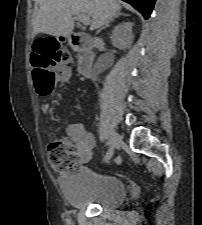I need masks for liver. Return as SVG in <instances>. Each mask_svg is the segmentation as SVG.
Segmentation results:
<instances>
[{
	"mask_svg": "<svg viewBox=\"0 0 202 225\" xmlns=\"http://www.w3.org/2000/svg\"><path fill=\"white\" fill-rule=\"evenodd\" d=\"M117 0H45L33 22V36L45 33L67 36L74 29L73 16L87 14L92 18L90 30L108 23L120 13Z\"/></svg>",
	"mask_w": 202,
	"mask_h": 225,
	"instance_id": "obj_1",
	"label": "liver"
}]
</instances>
